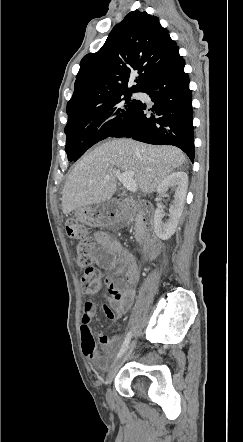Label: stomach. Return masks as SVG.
<instances>
[{
	"label": "stomach",
	"mask_w": 243,
	"mask_h": 442,
	"mask_svg": "<svg viewBox=\"0 0 243 442\" xmlns=\"http://www.w3.org/2000/svg\"><path fill=\"white\" fill-rule=\"evenodd\" d=\"M76 218L91 227H108L115 224L118 215L105 202L96 207L83 206L75 210Z\"/></svg>",
	"instance_id": "stomach-1"
}]
</instances>
